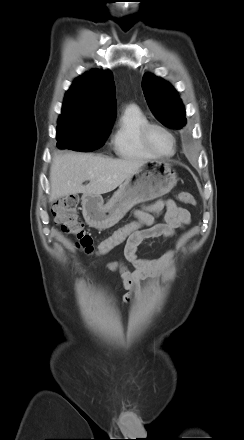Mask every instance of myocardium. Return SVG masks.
Masks as SVG:
<instances>
[{
  "label": "myocardium",
  "mask_w": 244,
  "mask_h": 440,
  "mask_svg": "<svg viewBox=\"0 0 244 440\" xmlns=\"http://www.w3.org/2000/svg\"><path fill=\"white\" fill-rule=\"evenodd\" d=\"M153 129H159L163 132H165L167 135L170 136V138L172 139L173 142V151L169 154V155H162L159 154L157 152H155L150 144H149V134L151 132V130ZM139 138H140V142L143 145V147L150 153L152 154L154 157H164V156H172L175 152H176V147H177V141L176 138L174 136V134L167 129L166 127L160 125V124H156V123H147L144 126H142V128L140 129L139 132Z\"/></svg>",
  "instance_id": "1"
}]
</instances>
